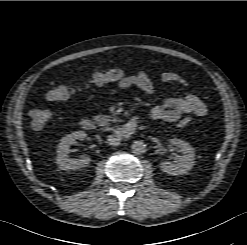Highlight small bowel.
<instances>
[{"instance_id":"1","label":"small bowel","mask_w":247,"mask_h":245,"mask_svg":"<svg viewBox=\"0 0 247 245\" xmlns=\"http://www.w3.org/2000/svg\"><path fill=\"white\" fill-rule=\"evenodd\" d=\"M161 81L169 84L187 85V81L174 72L162 73ZM130 87H137L146 94H153L156 90L151 77L146 72L140 71L134 75L124 76L116 82V86L108 91L107 96L113 98L120 91ZM186 114L204 117L208 114V109L196 95L188 93L183 96H172L163 104L153 107L150 112L152 119L167 122L178 121Z\"/></svg>"}]
</instances>
